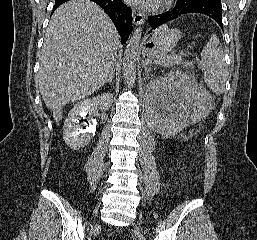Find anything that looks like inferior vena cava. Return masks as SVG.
<instances>
[{"instance_id":"1","label":"inferior vena cava","mask_w":257,"mask_h":240,"mask_svg":"<svg viewBox=\"0 0 257 240\" xmlns=\"http://www.w3.org/2000/svg\"><path fill=\"white\" fill-rule=\"evenodd\" d=\"M114 65H115V64H114ZM112 73H114V68L112 69V71H111L109 77L112 75Z\"/></svg>"}]
</instances>
